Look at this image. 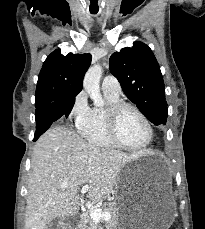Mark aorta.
<instances>
[{
  "label": "aorta",
  "instance_id": "aorta-1",
  "mask_svg": "<svg viewBox=\"0 0 205 229\" xmlns=\"http://www.w3.org/2000/svg\"><path fill=\"white\" fill-rule=\"evenodd\" d=\"M101 76L102 67L98 64H95L88 69L83 80V87L93 100L95 106L104 105V100L100 93Z\"/></svg>",
  "mask_w": 205,
  "mask_h": 229
}]
</instances>
